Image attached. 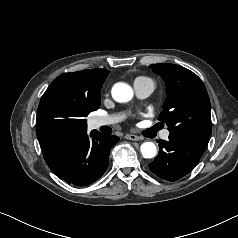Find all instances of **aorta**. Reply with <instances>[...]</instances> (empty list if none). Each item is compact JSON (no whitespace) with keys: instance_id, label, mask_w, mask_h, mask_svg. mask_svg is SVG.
Returning a JSON list of instances; mask_svg holds the SVG:
<instances>
[{"instance_id":"762f6f07","label":"aorta","mask_w":238,"mask_h":238,"mask_svg":"<svg viewBox=\"0 0 238 238\" xmlns=\"http://www.w3.org/2000/svg\"><path fill=\"white\" fill-rule=\"evenodd\" d=\"M112 97L117 102H127L133 97L132 88L125 83H116L112 88ZM144 158H153L157 154L156 145L153 142H145L140 147Z\"/></svg>"}]
</instances>
